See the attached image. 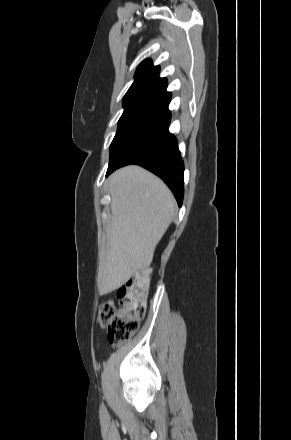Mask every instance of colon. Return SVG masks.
Here are the masks:
<instances>
[{
  "mask_svg": "<svg viewBox=\"0 0 291 440\" xmlns=\"http://www.w3.org/2000/svg\"><path fill=\"white\" fill-rule=\"evenodd\" d=\"M149 288V273L143 271L117 291L118 307L106 302L100 307L99 325L107 332L109 340L124 343L137 330L145 316V298Z\"/></svg>",
  "mask_w": 291,
  "mask_h": 440,
  "instance_id": "1",
  "label": "colon"
}]
</instances>
